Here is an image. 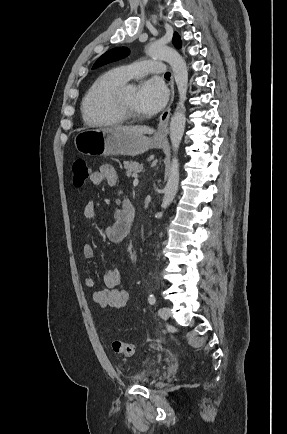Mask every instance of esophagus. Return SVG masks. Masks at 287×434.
<instances>
[{"mask_svg": "<svg viewBox=\"0 0 287 434\" xmlns=\"http://www.w3.org/2000/svg\"><path fill=\"white\" fill-rule=\"evenodd\" d=\"M170 89H171V98H170L169 106L161 113V115L159 117L158 129H157V133H156V138H158V139L164 138V136L167 133L168 122H169L170 111H171V104L174 100V80H173V77L171 79Z\"/></svg>", "mask_w": 287, "mask_h": 434, "instance_id": "obj_1", "label": "esophagus"}]
</instances>
